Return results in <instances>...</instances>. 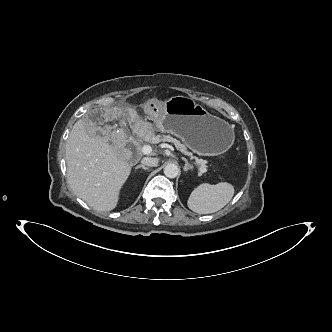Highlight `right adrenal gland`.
Segmentation results:
<instances>
[{
  "mask_svg": "<svg viewBox=\"0 0 332 332\" xmlns=\"http://www.w3.org/2000/svg\"><path fill=\"white\" fill-rule=\"evenodd\" d=\"M139 168H142V169H144V170H149V167H146V166H144V165H138V166L136 167V169H139Z\"/></svg>",
  "mask_w": 332,
  "mask_h": 332,
  "instance_id": "right-adrenal-gland-1",
  "label": "right adrenal gland"
}]
</instances>
